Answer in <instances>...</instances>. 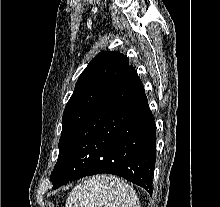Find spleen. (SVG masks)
Wrapping results in <instances>:
<instances>
[{
	"label": "spleen",
	"mask_w": 220,
	"mask_h": 207,
	"mask_svg": "<svg viewBox=\"0 0 220 207\" xmlns=\"http://www.w3.org/2000/svg\"><path fill=\"white\" fill-rule=\"evenodd\" d=\"M66 207H140L135 190L112 175L85 180L69 194Z\"/></svg>",
	"instance_id": "spleen-1"
}]
</instances>
